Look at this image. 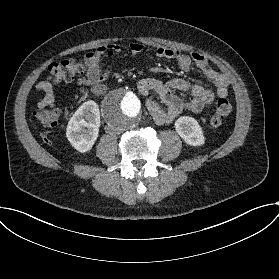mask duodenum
<instances>
[{
	"instance_id": "1",
	"label": "duodenum",
	"mask_w": 279,
	"mask_h": 279,
	"mask_svg": "<svg viewBox=\"0 0 279 279\" xmlns=\"http://www.w3.org/2000/svg\"><path fill=\"white\" fill-rule=\"evenodd\" d=\"M104 90H105V87L101 86V87H99V88L97 89V92H98V93H101V92H103Z\"/></svg>"
}]
</instances>
